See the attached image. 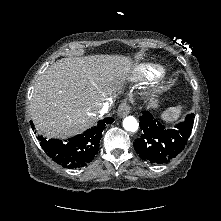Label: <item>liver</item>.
I'll list each match as a JSON object with an SVG mask.
<instances>
[{"label": "liver", "mask_w": 221, "mask_h": 221, "mask_svg": "<svg viewBox=\"0 0 221 221\" xmlns=\"http://www.w3.org/2000/svg\"><path fill=\"white\" fill-rule=\"evenodd\" d=\"M133 62L119 55L62 58L39 78L30 114L39 133L65 139L97 122L96 111L115 97L132 73Z\"/></svg>", "instance_id": "1"}]
</instances>
